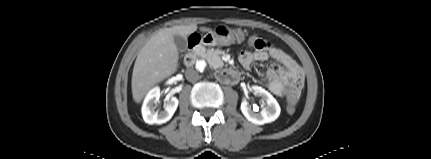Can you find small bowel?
Instances as JSON below:
<instances>
[{
	"label": "small bowel",
	"instance_id": "small-bowel-1",
	"mask_svg": "<svg viewBox=\"0 0 431 159\" xmlns=\"http://www.w3.org/2000/svg\"><path fill=\"white\" fill-rule=\"evenodd\" d=\"M256 37L253 51L245 50L239 55V61L245 69H249L254 62H263L271 57L275 60L267 72L268 89L277 96H282L290 90L288 104L291 107L303 102L299 95L302 88L303 74L296 60L283 49L270 44L263 38ZM293 97V98H292Z\"/></svg>",
	"mask_w": 431,
	"mask_h": 159
}]
</instances>
